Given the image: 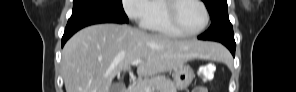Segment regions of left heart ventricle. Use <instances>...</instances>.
Returning <instances> with one entry per match:
<instances>
[{
	"label": "left heart ventricle",
	"mask_w": 296,
	"mask_h": 92,
	"mask_svg": "<svg viewBox=\"0 0 296 92\" xmlns=\"http://www.w3.org/2000/svg\"><path fill=\"white\" fill-rule=\"evenodd\" d=\"M177 19L186 31H196L204 23L205 15L202 7L194 1H184L177 9Z\"/></svg>",
	"instance_id": "obj_1"
}]
</instances>
